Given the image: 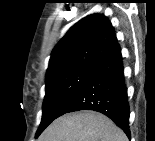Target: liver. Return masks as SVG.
I'll return each mask as SVG.
<instances>
[{
	"instance_id": "6515ba94",
	"label": "liver",
	"mask_w": 155,
	"mask_h": 141,
	"mask_svg": "<svg viewBox=\"0 0 155 141\" xmlns=\"http://www.w3.org/2000/svg\"><path fill=\"white\" fill-rule=\"evenodd\" d=\"M40 141H127V137L108 117L85 110L57 118Z\"/></svg>"
}]
</instances>
